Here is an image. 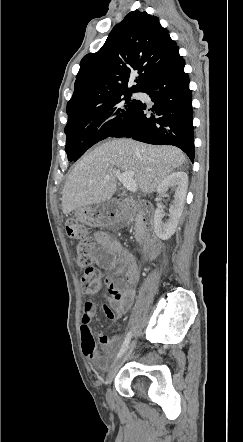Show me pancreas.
Wrapping results in <instances>:
<instances>
[{
	"label": "pancreas",
	"instance_id": "pancreas-1",
	"mask_svg": "<svg viewBox=\"0 0 243 442\" xmlns=\"http://www.w3.org/2000/svg\"><path fill=\"white\" fill-rule=\"evenodd\" d=\"M128 221H129L130 223H134V230H135V232H134V236H135L136 240H137L138 242H140L141 239H142V227H141V223L139 222L138 218H136V217H134V216H132V215H130V216L128 217Z\"/></svg>",
	"mask_w": 243,
	"mask_h": 442
}]
</instances>
